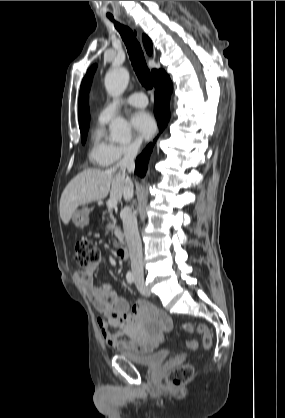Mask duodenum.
<instances>
[{"label": "duodenum", "mask_w": 285, "mask_h": 418, "mask_svg": "<svg viewBox=\"0 0 285 418\" xmlns=\"http://www.w3.org/2000/svg\"><path fill=\"white\" fill-rule=\"evenodd\" d=\"M117 254L120 259H128L129 258V248L128 246H121L117 250Z\"/></svg>", "instance_id": "obj_1"}]
</instances>
